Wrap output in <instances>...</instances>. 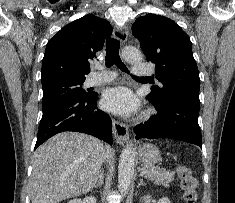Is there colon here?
Instances as JSON below:
<instances>
[{
  "instance_id": "5ec220e1",
  "label": "colon",
  "mask_w": 235,
  "mask_h": 203,
  "mask_svg": "<svg viewBox=\"0 0 235 203\" xmlns=\"http://www.w3.org/2000/svg\"><path fill=\"white\" fill-rule=\"evenodd\" d=\"M177 173L180 179L183 200L186 203H196L198 199V183L193 177L191 170L187 166L180 165L177 168Z\"/></svg>"
}]
</instances>
